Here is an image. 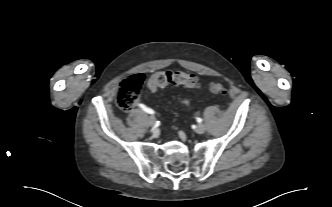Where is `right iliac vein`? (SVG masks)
<instances>
[{"label": "right iliac vein", "mask_w": 332, "mask_h": 207, "mask_svg": "<svg viewBox=\"0 0 332 207\" xmlns=\"http://www.w3.org/2000/svg\"><path fill=\"white\" fill-rule=\"evenodd\" d=\"M148 123H149L150 126H154L155 123H156L155 117L154 116H149Z\"/></svg>", "instance_id": "right-iliac-vein-1"}]
</instances>
